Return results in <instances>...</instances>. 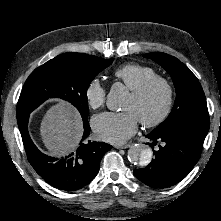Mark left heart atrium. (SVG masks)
Wrapping results in <instances>:
<instances>
[{
  "label": "left heart atrium",
  "mask_w": 221,
  "mask_h": 221,
  "mask_svg": "<svg viewBox=\"0 0 221 221\" xmlns=\"http://www.w3.org/2000/svg\"><path fill=\"white\" fill-rule=\"evenodd\" d=\"M92 126L99 138L120 144L136 132L138 118L132 111L103 113L93 118Z\"/></svg>",
  "instance_id": "obj_1"
}]
</instances>
